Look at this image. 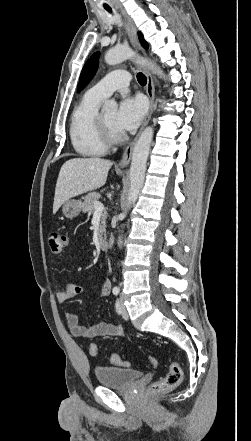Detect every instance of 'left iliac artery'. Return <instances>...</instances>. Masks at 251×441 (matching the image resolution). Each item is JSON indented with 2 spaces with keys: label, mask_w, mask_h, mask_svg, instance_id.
<instances>
[{
  "label": "left iliac artery",
  "mask_w": 251,
  "mask_h": 441,
  "mask_svg": "<svg viewBox=\"0 0 251 441\" xmlns=\"http://www.w3.org/2000/svg\"><path fill=\"white\" fill-rule=\"evenodd\" d=\"M115 308H116L117 313L120 314L121 313V309H120L119 300L116 301Z\"/></svg>",
  "instance_id": "obj_1"
}]
</instances>
